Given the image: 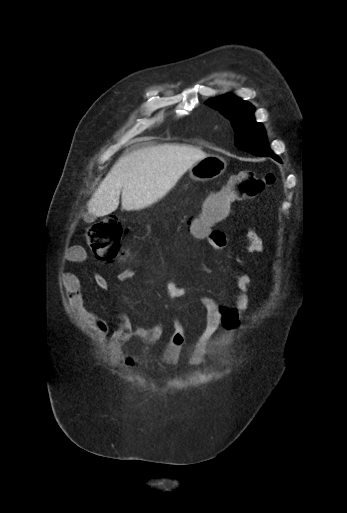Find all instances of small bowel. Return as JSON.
Returning <instances> with one entry per match:
<instances>
[{
  "mask_svg": "<svg viewBox=\"0 0 347 513\" xmlns=\"http://www.w3.org/2000/svg\"><path fill=\"white\" fill-rule=\"evenodd\" d=\"M206 240L213 250H221L228 244L227 233L222 228L214 227L205 235L196 237ZM246 249L251 253H261L264 250V244L254 228H250L245 235ZM86 256L85 250L80 246L72 247L68 252V262H80ZM138 268V265L126 267L118 274V279L122 282L130 280ZM206 272L211 268L206 266ZM96 285L106 289L107 280L101 276H94ZM62 286L65 290L68 306L75 319L83 326L92 330L102 340H106L110 335V326L108 322L97 314L88 310L85 306L82 294L81 283L76 275L70 272H63L61 275ZM251 281L248 275L242 271H236L233 275V285L231 287L233 305L224 306L219 304L211 296H203L200 303L205 309V328L187 353V364L189 366H198L202 363L204 357L210 351V339L221 329H234L240 326L242 314L249 308L248 293ZM167 294L170 297H182L187 294V288L178 283L173 278L166 281ZM170 332V337L164 345L160 355V362L165 366H175L183 358L187 351L186 334L183 324L175 319L153 325L143 326L133 324L125 317L120 318L118 328L111 334L110 340L119 348L121 344L136 339L146 346L156 344ZM117 362L127 367H137L142 363L141 358L137 356H124L118 352Z\"/></svg>",
  "mask_w": 347,
  "mask_h": 513,
  "instance_id": "1",
  "label": "small bowel"
}]
</instances>
